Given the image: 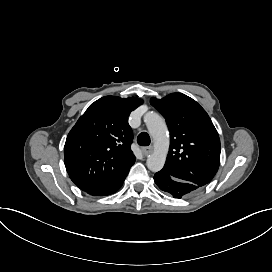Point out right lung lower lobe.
I'll return each instance as SVG.
<instances>
[{
	"label": "right lung lower lobe",
	"instance_id": "1",
	"mask_svg": "<svg viewBox=\"0 0 272 272\" xmlns=\"http://www.w3.org/2000/svg\"><path fill=\"white\" fill-rule=\"evenodd\" d=\"M128 172L129 170H127L125 173H123L121 176H119L117 179H115L113 182L109 184L92 188V189L86 190L85 192L93 196H107V195L113 194L120 189Z\"/></svg>",
	"mask_w": 272,
	"mask_h": 272
}]
</instances>
